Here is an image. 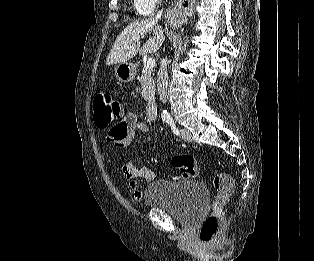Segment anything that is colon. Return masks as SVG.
<instances>
[{
	"label": "colon",
	"instance_id": "1",
	"mask_svg": "<svg viewBox=\"0 0 314 261\" xmlns=\"http://www.w3.org/2000/svg\"><path fill=\"white\" fill-rule=\"evenodd\" d=\"M95 125L104 129L111 125L114 129L121 128L122 106L109 93L100 92L93 100ZM125 138V137H124ZM172 166L179 171L176 178H193L197 175V165L190 155L174 156L171 160ZM213 185L216 190V198L213 203L212 213L206 217L199 228V238L205 243H212L217 240L224 222V205L229 201L235 191V183L229 175L220 172L213 178Z\"/></svg>",
	"mask_w": 314,
	"mask_h": 261
}]
</instances>
